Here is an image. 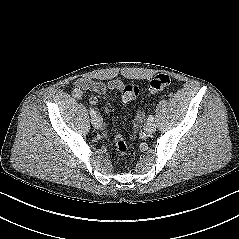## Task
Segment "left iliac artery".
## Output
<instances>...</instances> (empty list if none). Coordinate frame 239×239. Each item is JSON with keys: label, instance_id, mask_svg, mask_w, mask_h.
<instances>
[{"label": "left iliac artery", "instance_id": "1", "mask_svg": "<svg viewBox=\"0 0 239 239\" xmlns=\"http://www.w3.org/2000/svg\"><path fill=\"white\" fill-rule=\"evenodd\" d=\"M147 120L152 122L154 120V117L152 115H150Z\"/></svg>", "mask_w": 239, "mask_h": 239}]
</instances>
